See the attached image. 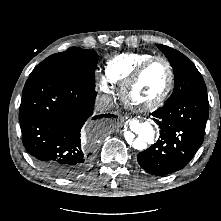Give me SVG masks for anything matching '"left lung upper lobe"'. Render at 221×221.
I'll list each match as a JSON object with an SVG mask.
<instances>
[{
  "label": "left lung upper lobe",
  "mask_w": 221,
  "mask_h": 221,
  "mask_svg": "<svg viewBox=\"0 0 221 221\" xmlns=\"http://www.w3.org/2000/svg\"><path fill=\"white\" fill-rule=\"evenodd\" d=\"M157 47L169 59L174 72V90L169 102L181 99L190 93L207 92L201 74L185 55L165 45L157 44Z\"/></svg>",
  "instance_id": "left-lung-upper-lobe-1"
}]
</instances>
